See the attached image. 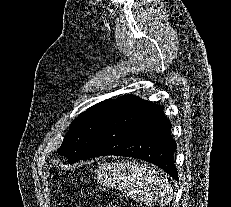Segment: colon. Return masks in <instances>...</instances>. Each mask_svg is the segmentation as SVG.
Returning <instances> with one entry per match:
<instances>
[{
    "instance_id": "5ec220e1",
    "label": "colon",
    "mask_w": 231,
    "mask_h": 207,
    "mask_svg": "<svg viewBox=\"0 0 231 207\" xmlns=\"http://www.w3.org/2000/svg\"><path fill=\"white\" fill-rule=\"evenodd\" d=\"M84 207H87V206H84ZM102 207H116V206L112 202H107L104 205H102Z\"/></svg>"
}]
</instances>
